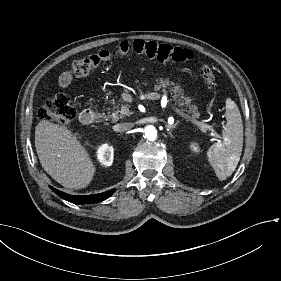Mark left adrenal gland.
<instances>
[{
    "label": "left adrenal gland",
    "mask_w": 281,
    "mask_h": 281,
    "mask_svg": "<svg viewBox=\"0 0 281 281\" xmlns=\"http://www.w3.org/2000/svg\"><path fill=\"white\" fill-rule=\"evenodd\" d=\"M179 125V123H176V124H174L173 126H167V128L169 129V131L171 132V133H173L174 132V130L176 129V127Z\"/></svg>",
    "instance_id": "obj_1"
}]
</instances>
